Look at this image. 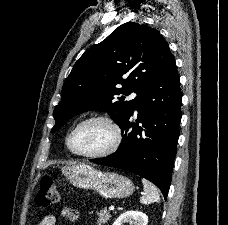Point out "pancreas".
I'll use <instances>...</instances> for the list:
<instances>
[{"label": "pancreas", "instance_id": "pancreas-1", "mask_svg": "<svg viewBox=\"0 0 228 225\" xmlns=\"http://www.w3.org/2000/svg\"><path fill=\"white\" fill-rule=\"evenodd\" d=\"M97 215L99 217L97 225H105V223H107L111 217L107 209H103V211H100V213H97Z\"/></svg>", "mask_w": 228, "mask_h": 225}]
</instances>
